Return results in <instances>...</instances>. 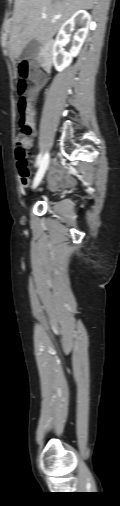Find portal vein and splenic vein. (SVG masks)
Masks as SVG:
<instances>
[{"label":"portal vein and splenic vein","instance_id":"1","mask_svg":"<svg viewBox=\"0 0 120 506\" xmlns=\"http://www.w3.org/2000/svg\"><path fill=\"white\" fill-rule=\"evenodd\" d=\"M42 18L43 19L47 18L46 14H42ZM54 19H56V18H54Z\"/></svg>","mask_w":120,"mask_h":506}]
</instances>
